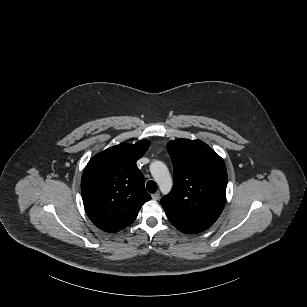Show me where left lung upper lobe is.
I'll list each match as a JSON object with an SVG mask.
<instances>
[{
  "instance_id": "obj_1",
  "label": "left lung upper lobe",
  "mask_w": 307,
  "mask_h": 307,
  "mask_svg": "<svg viewBox=\"0 0 307 307\" xmlns=\"http://www.w3.org/2000/svg\"><path fill=\"white\" fill-rule=\"evenodd\" d=\"M174 185L160 203L170 222L184 233L208 229L226 201L227 171L223 159L200 140L177 139L167 144Z\"/></svg>"
}]
</instances>
